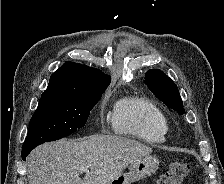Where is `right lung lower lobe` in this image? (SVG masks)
<instances>
[{
  "instance_id": "98d812e1",
  "label": "right lung lower lobe",
  "mask_w": 224,
  "mask_h": 184,
  "mask_svg": "<svg viewBox=\"0 0 224 184\" xmlns=\"http://www.w3.org/2000/svg\"><path fill=\"white\" fill-rule=\"evenodd\" d=\"M33 148H22L21 156L22 159L25 160L26 156L30 153Z\"/></svg>"
}]
</instances>
